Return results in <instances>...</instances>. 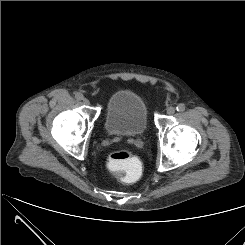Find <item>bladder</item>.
Listing matches in <instances>:
<instances>
[{
	"label": "bladder",
	"mask_w": 245,
	"mask_h": 245,
	"mask_svg": "<svg viewBox=\"0 0 245 245\" xmlns=\"http://www.w3.org/2000/svg\"><path fill=\"white\" fill-rule=\"evenodd\" d=\"M148 125L144 98L132 90L113 93L105 105L104 128L111 135L138 136Z\"/></svg>",
	"instance_id": "31cf9c89"
}]
</instances>
